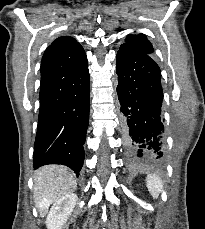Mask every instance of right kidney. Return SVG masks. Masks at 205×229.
Masks as SVG:
<instances>
[{
    "label": "right kidney",
    "mask_w": 205,
    "mask_h": 229,
    "mask_svg": "<svg viewBox=\"0 0 205 229\" xmlns=\"http://www.w3.org/2000/svg\"><path fill=\"white\" fill-rule=\"evenodd\" d=\"M77 199V195L71 193L57 200L48 213L46 219L47 229H62L68 216L71 215Z\"/></svg>",
    "instance_id": "ca27d5eb"
}]
</instances>
